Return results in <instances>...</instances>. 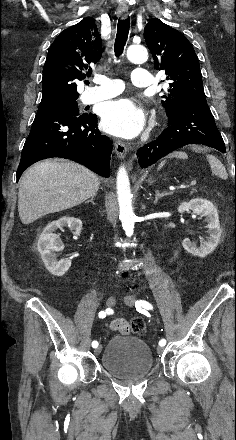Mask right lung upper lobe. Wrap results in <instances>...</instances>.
<instances>
[{
	"mask_svg": "<svg viewBox=\"0 0 236 440\" xmlns=\"http://www.w3.org/2000/svg\"><path fill=\"white\" fill-rule=\"evenodd\" d=\"M102 56V40L92 18L63 30L49 48L39 108L76 101L77 82L92 74Z\"/></svg>",
	"mask_w": 236,
	"mask_h": 440,
	"instance_id": "obj_1",
	"label": "right lung upper lobe"
}]
</instances>
